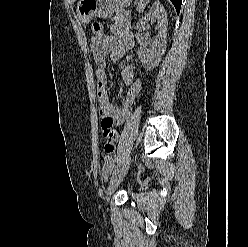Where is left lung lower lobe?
<instances>
[{
  "label": "left lung lower lobe",
  "mask_w": 248,
  "mask_h": 247,
  "mask_svg": "<svg viewBox=\"0 0 248 247\" xmlns=\"http://www.w3.org/2000/svg\"><path fill=\"white\" fill-rule=\"evenodd\" d=\"M171 2L175 6V9H176L177 13H179L180 8H181L182 0H171Z\"/></svg>",
  "instance_id": "0a47b994"
}]
</instances>
